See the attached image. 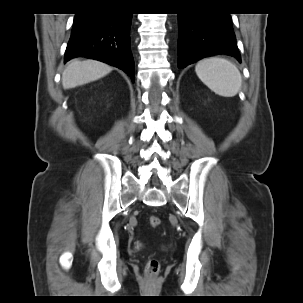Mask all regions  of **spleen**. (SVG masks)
Returning <instances> with one entry per match:
<instances>
[{
    "mask_svg": "<svg viewBox=\"0 0 303 303\" xmlns=\"http://www.w3.org/2000/svg\"><path fill=\"white\" fill-rule=\"evenodd\" d=\"M199 79L215 94L234 97L242 86V77L235 64L227 59L211 57L199 61L195 67Z\"/></svg>",
    "mask_w": 303,
    "mask_h": 303,
    "instance_id": "3e777b00",
    "label": "spleen"
}]
</instances>
